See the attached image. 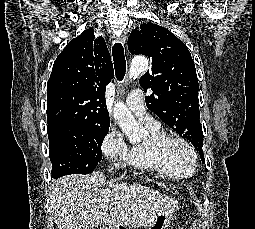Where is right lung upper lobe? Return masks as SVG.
Returning <instances> with one entry per match:
<instances>
[{"label":"right lung upper lobe","mask_w":255,"mask_h":229,"mask_svg":"<svg viewBox=\"0 0 255 229\" xmlns=\"http://www.w3.org/2000/svg\"><path fill=\"white\" fill-rule=\"evenodd\" d=\"M113 77L108 48L93 28L71 40L56 58L47 84L48 126L110 125L105 90Z\"/></svg>","instance_id":"1"}]
</instances>
